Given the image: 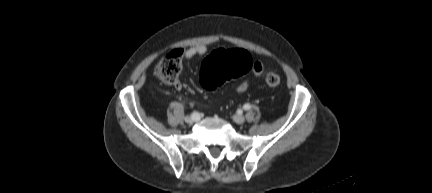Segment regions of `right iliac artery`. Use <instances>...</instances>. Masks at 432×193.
<instances>
[{"mask_svg": "<svg viewBox=\"0 0 432 193\" xmlns=\"http://www.w3.org/2000/svg\"><path fill=\"white\" fill-rule=\"evenodd\" d=\"M193 117L194 116H197V111H192V114H191Z\"/></svg>", "mask_w": 432, "mask_h": 193, "instance_id": "82829eb1", "label": "right iliac artery"}]
</instances>
